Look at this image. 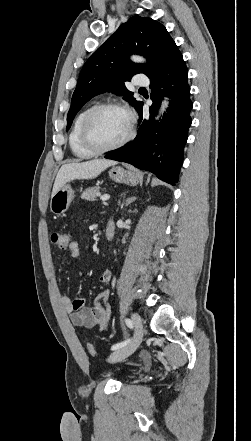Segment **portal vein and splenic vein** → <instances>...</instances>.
I'll return each mask as SVG.
<instances>
[{
  "mask_svg": "<svg viewBox=\"0 0 251 441\" xmlns=\"http://www.w3.org/2000/svg\"><path fill=\"white\" fill-rule=\"evenodd\" d=\"M100 199H101V201L105 202V201H108L110 199V196L105 194V195L100 196Z\"/></svg>",
  "mask_w": 251,
  "mask_h": 441,
  "instance_id": "obj_1",
  "label": "portal vein and splenic vein"
}]
</instances>
